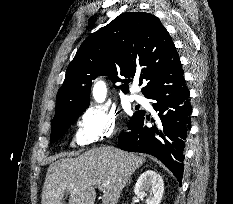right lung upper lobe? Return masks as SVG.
Masks as SVG:
<instances>
[{"instance_id": "1", "label": "right lung upper lobe", "mask_w": 233, "mask_h": 204, "mask_svg": "<svg viewBox=\"0 0 233 204\" xmlns=\"http://www.w3.org/2000/svg\"><path fill=\"white\" fill-rule=\"evenodd\" d=\"M180 62L174 43L160 20L149 13H122L108 25L91 34L80 46L66 70L65 80L56 97L52 121L86 109L91 81L107 75L123 93L128 92L125 78L140 76L145 90L170 66Z\"/></svg>"}]
</instances>
